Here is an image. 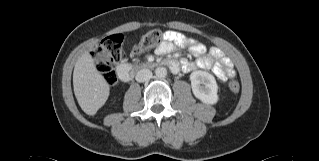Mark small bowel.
<instances>
[{"instance_id": "obj_1", "label": "small bowel", "mask_w": 319, "mask_h": 161, "mask_svg": "<svg viewBox=\"0 0 319 161\" xmlns=\"http://www.w3.org/2000/svg\"><path fill=\"white\" fill-rule=\"evenodd\" d=\"M187 46L195 61L183 59L181 69L184 72H191L195 69H211L214 75L221 81H226L235 77L236 71L232 61L226 57L222 50L212 47L206 54V46L198 41L187 38L184 34L176 31H167L163 35V41L156 49L157 54L164 55L174 49V45Z\"/></svg>"}]
</instances>
